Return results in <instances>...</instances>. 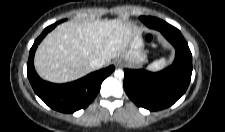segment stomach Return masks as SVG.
Listing matches in <instances>:
<instances>
[{"instance_id":"1","label":"stomach","mask_w":225,"mask_h":132,"mask_svg":"<svg viewBox=\"0 0 225 132\" xmlns=\"http://www.w3.org/2000/svg\"><path fill=\"white\" fill-rule=\"evenodd\" d=\"M119 60L130 68L141 67L147 61L144 42L140 33H137L129 43L127 50L120 55Z\"/></svg>"}]
</instances>
